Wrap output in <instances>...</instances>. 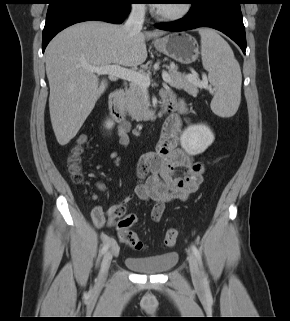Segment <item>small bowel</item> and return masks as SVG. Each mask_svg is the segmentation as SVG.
<instances>
[{"mask_svg":"<svg viewBox=\"0 0 290 321\" xmlns=\"http://www.w3.org/2000/svg\"><path fill=\"white\" fill-rule=\"evenodd\" d=\"M168 95H171L168 90L161 91L162 97ZM184 124L185 121L180 115L170 116L162 127L155 150L142 154L137 161L138 183L134 195L153 203L150 215L156 222L161 219L167 203L186 200L203 182L205 173L203 162L178 147L179 134ZM130 129L129 122H120L116 127L119 143L123 147L129 143ZM97 187L101 191L105 190L103 183H98ZM131 198L132 196L126 197L109 210H105L101 205L95 206L92 210V219L96 227L113 225L117 218L125 214ZM110 242L112 248L117 251L114 241Z\"/></svg>","mask_w":290,"mask_h":321,"instance_id":"obj_1","label":"small bowel"}]
</instances>
